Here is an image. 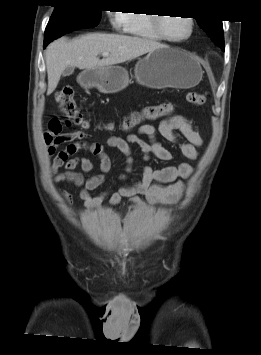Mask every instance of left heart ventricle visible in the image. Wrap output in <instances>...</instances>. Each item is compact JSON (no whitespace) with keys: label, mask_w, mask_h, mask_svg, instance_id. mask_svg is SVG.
I'll return each mask as SVG.
<instances>
[{"label":"left heart ventricle","mask_w":261,"mask_h":355,"mask_svg":"<svg viewBox=\"0 0 261 355\" xmlns=\"http://www.w3.org/2000/svg\"><path fill=\"white\" fill-rule=\"evenodd\" d=\"M164 33L173 39H179L189 34L190 25L186 17H169L162 21Z\"/></svg>","instance_id":"obj_1"}]
</instances>
